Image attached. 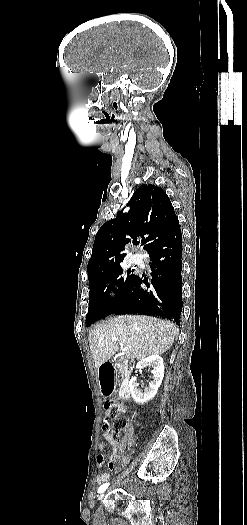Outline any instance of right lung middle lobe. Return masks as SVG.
I'll return each mask as SVG.
<instances>
[{
	"instance_id": "right-lung-middle-lobe-1",
	"label": "right lung middle lobe",
	"mask_w": 247,
	"mask_h": 525,
	"mask_svg": "<svg viewBox=\"0 0 247 525\" xmlns=\"http://www.w3.org/2000/svg\"><path fill=\"white\" fill-rule=\"evenodd\" d=\"M130 272L131 270H128L127 275L122 276L123 270L120 267L88 275L90 292L89 308L86 316L87 326L91 325L98 319L115 312L135 278V275L130 274ZM112 285L118 287L117 300L111 298L109 295Z\"/></svg>"
}]
</instances>
